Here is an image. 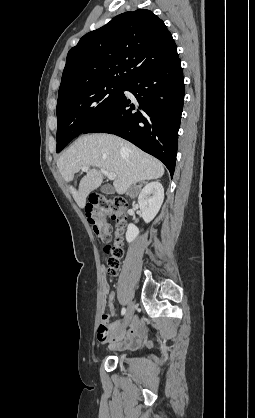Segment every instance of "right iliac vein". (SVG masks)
I'll return each instance as SVG.
<instances>
[{
    "mask_svg": "<svg viewBox=\"0 0 255 418\" xmlns=\"http://www.w3.org/2000/svg\"><path fill=\"white\" fill-rule=\"evenodd\" d=\"M134 310H135L134 303H130L128 305L127 312H126V315H125L123 323H122L123 327H126L129 324V322L131 321V319L133 317V314H134Z\"/></svg>",
    "mask_w": 255,
    "mask_h": 418,
    "instance_id": "right-iliac-vein-1",
    "label": "right iliac vein"
}]
</instances>
